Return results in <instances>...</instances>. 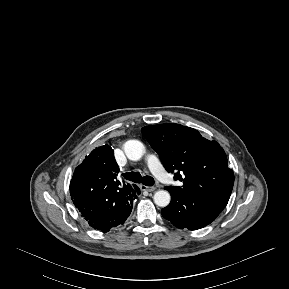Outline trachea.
I'll return each instance as SVG.
<instances>
[{"label":"trachea","mask_w":289,"mask_h":289,"mask_svg":"<svg viewBox=\"0 0 289 289\" xmlns=\"http://www.w3.org/2000/svg\"><path fill=\"white\" fill-rule=\"evenodd\" d=\"M122 176L128 181L142 183L146 186H153L154 184V179L151 176L142 177L139 172L124 173Z\"/></svg>","instance_id":"trachea-1"}]
</instances>
